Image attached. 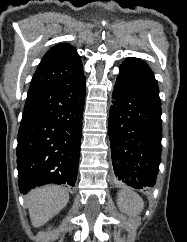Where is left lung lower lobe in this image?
<instances>
[{"label": "left lung lower lobe", "mask_w": 187, "mask_h": 242, "mask_svg": "<svg viewBox=\"0 0 187 242\" xmlns=\"http://www.w3.org/2000/svg\"><path fill=\"white\" fill-rule=\"evenodd\" d=\"M112 99L108 135L115 176L136 189L153 187L161 157L159 91L120 74Z\"/></svg>", "instance_id": "0a47b994"}]
</instances>
